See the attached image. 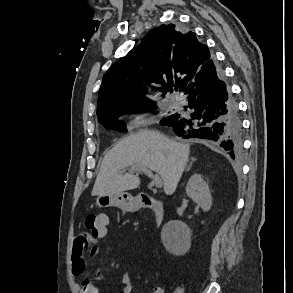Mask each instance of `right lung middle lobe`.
Masks as SVG:
<instances>
[{
    "label": "right lung middle lobe",
    "instance_id": "right-lung-middle-lobe-1",
    "mask_svg": "<svg viewBox=\"0 0 293 293\" xmlns=\"http://www.w3.org/2000/svg\"><path fill=\"white\" fill-rule=\"evenodd\" d=\"M133 112V111H132ZM124 112H111L99 117V122L106 128L117 129L119 131H126V126L123 121L117 118Z\"/></svg>",
    "mask_w": 293,
    "mask_h": 293
}]
</instances>
